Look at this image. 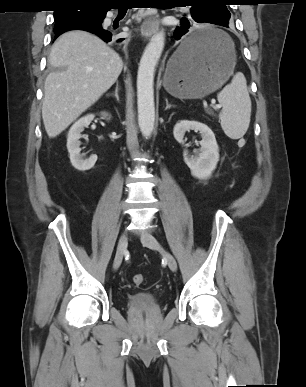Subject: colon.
<instances>
[{
	"mask_svg": "<svg viewBox=\"0 0 306 387\" xmlns=\"http://www.w3.org/2000/svg\"><path fill=\"white\" fill-rule=\"evenodd\" d=\"M145 282V277L142 274H136L133 276V283L136 286H141Z\"/></svg>",
	"mask_w": 306,
	"mask_h": 387,
	"instance_id": "obj_1",
	"label": "colon"
}]
</instances>
